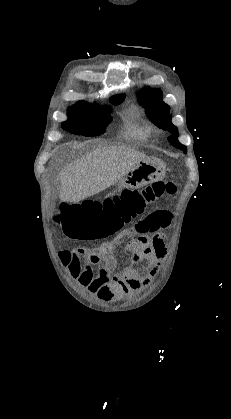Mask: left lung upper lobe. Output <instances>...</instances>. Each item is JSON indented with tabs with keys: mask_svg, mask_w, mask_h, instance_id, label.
I'll return each instance as SVG.
<instances>
[{
	"mask_svg": "<svg viewBox=\"0 0 231 419\" xmlns=\"http://www.w3.org/2000/svg\"><path fill=\"white\" fill-rule=\"evenodd\" d=\"M139 103L146 108L149 119L159 128L172 133L168 141L176 148L187 152L186 146L182 145L178 139V129L171 123L170 107L162 101L160 89L145 88L139 94Z\"/></svg>",
	"mask_w": 231,
	"mask_h": 419,
	"instance_id": "left-lung-upper-lobe-1",
	"label": "left lung upper lobe"
}]
</instances>
